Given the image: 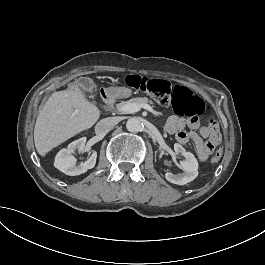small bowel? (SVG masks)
Listing matches in <instances>:
<instances>
[{"label":"small bowel","instance_id":"c3829d8e","mask_svg":"<svg viewBox=\"0 0 265 265\" xmlns=\"http://www.w3.org/2000/svg\"><path fill=\"white\" fill-rule=\"evenodd\" d=\"M186 127L190 130L187 131ZM165 131L173 135L181 145H192L197 158L206 162L221 140L218 126L215 122L200 125L197 119H184L172 115L168 118Z\"/></svg>","mask_w":265,"mask_h":265}]
</instances>
